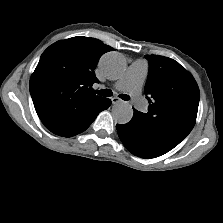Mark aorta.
I'll list each match as a JSON object with an SVG mask.
<instances>
[{"label": "aorta", "instance_id": "762f6f07", "mask_svg": "<svg viewBox=\"0 0 223 223\" xmlns=\"http://www.w3.org/2000/svg\"><path fill=\"white\" fill-rule=\"evenodd\" d=\"M103 73L110 79L117 78L125 69L124 59L116 53L105 54L99 62ZM113 120L118 124L128 123L133 116L132 106L127 102H118L112 107Z\"/></svg>", "mask_w": 223, "mask_h": 223}]
</instances>
